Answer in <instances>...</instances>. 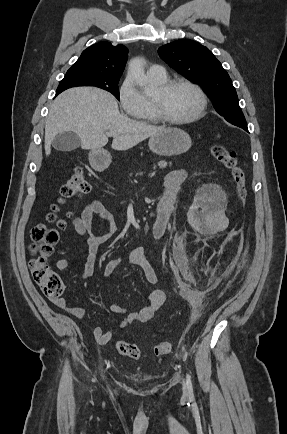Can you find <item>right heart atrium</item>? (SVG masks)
Returning <instances> with one entry per match:
<instances>
[{
	"label": "right heart atrium",
	"mask_w": 287,
	"mask_h": 434,
	"mask_svg": "<svg viewBox=\"0 0 287 434\" xmlns=\"http://www.w3.org/2000/svg\"><path fill=\"white\" fill-rule=\"evenodd\" d=\"M118 97L124 112L130 116H137L145 108L146 98L130 76L121 83Z\"/></svg>",
	"instance_id": "1"
}]
</instances>
